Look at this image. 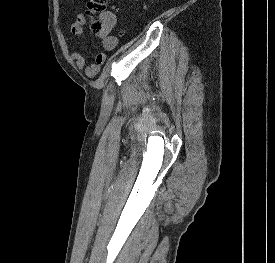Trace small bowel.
I'll return each instance as SVG.
<instances>
[{"label":"small bowel","instance_id":"small-bowel-1","mask_svg":"<svg viewBox=\"0 0 275 263\" xmlns=\"http://www.w3.org/2000/svg\"><path fill=\"white\" fill-rule=\"evenodd\" d=\"M108 32L106 34H100V39L102 40V45L105 50L112 51L116 49L118 45V39L115 36L108 35L109 31L115 26V17L113 14L108 13L105 16ZM86 16L84 14H78L74 23L71 25V33L78 40L81 41L84 34V26L86 24ZM106 54L100 52L95 55L93 62L86 64V59L82 53L74 52L71 54V59L74 61L76 67L79 70H84L85 74L89 78H94L99 74L101 67L106 62Z\"/></svg>","mask_w":275,"mask_h":263}]
</instances>
